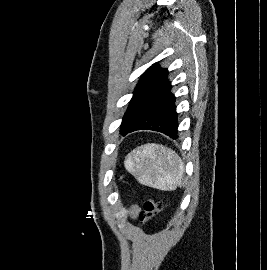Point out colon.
Here are the masks:
<instances>
[{"label": "colon", "mask_w": 267, "mask_h": 270, "mask_svg": "<svg viewBox=\"0 0 267 270\" xmlns=\"http://www.w3.org/2000/svg\"><path fill=\"white\" fill-rule=\"evenodd\" d=\"M163 208L162 202L159 200H155L153 198H149L139 213V218L142 225H145L149 221H151L158 213L161 212Z\"/></svg>", "instance_id": "obj_1"}]
</instances>
